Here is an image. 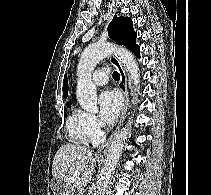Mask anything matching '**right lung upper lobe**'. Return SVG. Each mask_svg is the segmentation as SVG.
Masks as SVG:
<instances>
[{"instance_id":"1","label":"right lung upper lobe","mask_w":211,"mask_h":195,"mask_svg":"<svg viewBox=\"0 0 211 195\" xmlns=\"http://www.w3.org/2000/svg\"><path fill=\"white\" fill-rule=\"evenodd\" d=\"M67 94H68V80H67V75H65L63 82V96L67 97Z\"/></svg>"}]
</instances>
